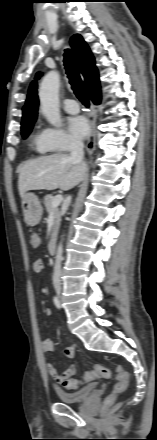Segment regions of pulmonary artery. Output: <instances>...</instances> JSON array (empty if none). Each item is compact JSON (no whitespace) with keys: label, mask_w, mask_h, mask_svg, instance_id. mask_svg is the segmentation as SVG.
<instances>
[{"label":"pulmonary artery","mask_w":157,"mask_h":440,"mask_svg":"<svg viewBox=\"0 0 157 440\" xmlns=\"http://www.w3.org/2000/svg\"><path fill=\"white\" fill-rule=\"evenodd\" d=\"M63 108L66 112L71 113V114H75L79 112V105L76 101L74 100H64L63 101Z\"/></svg>","instance_id":"pulmonary-artery-1"}]
</instances>
